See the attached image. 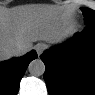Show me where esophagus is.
Segmentation results:
<instances>
[{
	"label": "esophagus",
	"mask_w": 95,
	"mask_h": 95,
	"mask_svg": "<svg viewBox=\"0 0 95 95\" xmlns=\"http://www.w3.org/2000/svg\"><path fill=\"white\" fill-rule=\"evenodd\" d=\"M46 49V45L44 43H38L36 46H35V50L36 52L38 53V55L40 56L43 51Z\"/></svg>",
	"instance_id": "obj_1"
}]
</instances>
